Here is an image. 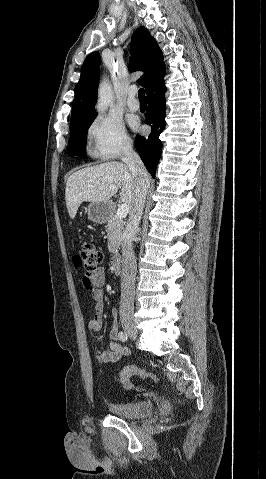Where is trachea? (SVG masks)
<instances>
[{
	"instance_id": "obj_1",
	"label": "trachea",
	"mask_w": 266,
	"mask_h": 479,
	"mask_svg": "<svg viewBox=\"0 0 266 479\" xmlns=\"http://www.w3.org/2000/svg\"><path fill=\"white\" fill-rule=\"evenodd\" d=\"M139 100L146 101L145 91L143 88H140L138 91Z\"/></svg>"
}]
</instances>
